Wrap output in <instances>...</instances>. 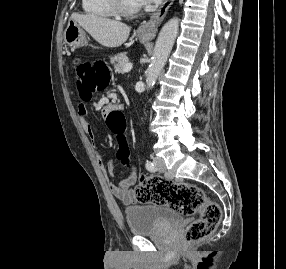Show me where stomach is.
I'll list each match as a JSON object with an SVG mask.
<instances>
[{"label": "stomach", "instance_id": "stomach-1", "mask_svg": "<svg viewBox=\"0 0 286 269\" xmlns=\"http://www.w3.org/2000/svg\"><path fill=\"white\" fill-rule=\"evenodd\" d=\"M64 43L70 47L78 48L87 43V36L83 28L74 20H69L67 27L64 31ZM141 42H146L147 39L144 35L139 34Z\"/></svg>", "mask_w": 286, "mask_h": 269}]
</instances>
